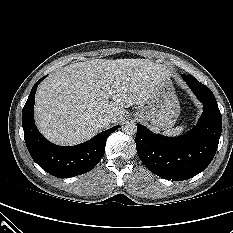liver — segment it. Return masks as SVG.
<instances>
[{"instance_id": "1", "label": "liver", "mask_w": 233, "mask_h": 233, "mask_svg": "<svg viewBox=\"0 0 233 233\" xmlns=\"http://www.w3.org/2000/svg\"><path fill=\"white\" fill-rule=\"evenodd\" d=\"M169 73L147 59H92L67 65L46 78L36 93L35 116L41 133L60 145L91 139L96 119H123L125 108L147 104ZM110 99V100H109Z\"/></svg>"}]
</instances>
